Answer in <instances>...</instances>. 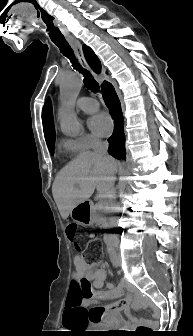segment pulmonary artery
<instances>
[{
    "mask_svg": "<svg viewBox=\"0 0 193 336\" xmlns=\"http://www.w3.org/2000/svg\"><path fill=\"white\" fill-rule=\"evenodd\" d=\"M76 106L78 109L86 113H94L99 108L98 102L95 99L89 97L79 98L76 102Z\"/></svg>",
    "mask_w": 193,
    "mask_h": 336,
    "instance_id": "e3ab8cb5",
    "label": "pulmonary artery"
}]
</instances>
